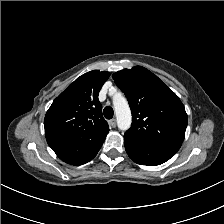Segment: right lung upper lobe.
<instances>
[{"mask_svg": "<svg viewBox=\"0 0 224 224\" xmlns=\"http://www.w3.org/2000/svg\"><path fill=\"white\" fill-rule=\"evenodd\" d=\"M109 76V72L93 70L78 77L47 111L45 134H66L91 144L105 140L109 127L98 93Z\"/></svg>", "mask_w": 224, "mask_h": 224, "instance_id": "obj_1", "label": "right lung upper lobe"}]
</instances>
